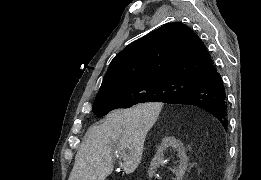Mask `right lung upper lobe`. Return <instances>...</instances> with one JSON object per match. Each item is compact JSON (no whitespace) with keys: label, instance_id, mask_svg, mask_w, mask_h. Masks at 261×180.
Listing matches in <instances>:
<instances>
[{"label":"right lung upper lobe","instance_id":"1","mask_svg":"<svg viewBox=\"0 0 261 180\" xmlns=\"http://www.w3.org/2000/svg\"><path fill=\"white\" fill-rule=\"evenodd\" d=\"M214 69L199 37L185 24L168 23L131 43L114 57L97 96L162 80L196 82Z\"/></svg>","mask_w":261,"mask_h":180}]
</instances>
